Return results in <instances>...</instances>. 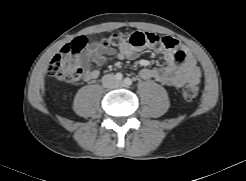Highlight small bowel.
<instances>
[{"label": "small bowel", "instance_id": "1", "mask_svg": "<svg viewBox=\"0 0 246 181\" xmlns=\"http://www.w3.org/2000/svg\"><path fill=\"white\" fill-rule=\"evenodd\" d=\"M166 64L161 67H144L139 75L143 79H152L170 87H181L186 82L196 83L200 80L201 71L193 54L173 37H164L160 44ZM139 49L128 42L121 43L118 48H105L99 42H91L82 51L84 62L92 66L87 73L91 80L101 74L100 66L106 57L115 55L119 59H132L138 55Z\"/></svg>", "mask_w": 246, "mask_h": 181}]
</instances>
